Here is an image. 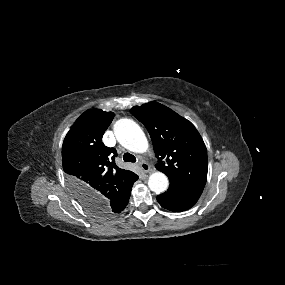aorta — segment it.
Wrapping results in <instances>:
<instances>
[{
  "label": "aorta",
  "instance_id": "aorta-1",
  "mask_svg": "<svg viewBox=\"0 0 285 285\" xmlns=\"http://www.w3.org/2000/svg\"><path fill=\"white\" fill-rule=\"evenodd\" d=\"M114 133L119 143L129 151L144 153L149 148V143L144 132L131 119L122 118L118 120L114 126ZM168 185V178L162 172H154L149 177L148 186L156 194L166 191Z\"/></svg>",
  "mask_w": 285,
  "mask_h": 285
}]
</instances>
